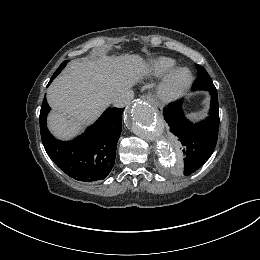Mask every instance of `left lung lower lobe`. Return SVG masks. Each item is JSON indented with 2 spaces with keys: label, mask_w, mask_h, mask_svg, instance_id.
Masks as SVG:
<instances>
[{
  "label": "left lung lower lobe",
  "mask_w": 260,
  "mask_h": 260,
  "mask_svg": "<svg viewBox=\"0 0 260 260\" xmlns=\"http://www.w3.org/2000/svg\"><path fill=\"white\" fill-rule=\"evenodd\" d=\"M211 94L209 117L199 123L189 121L183 112V101L170 103L163 109V117L170 132L178 138L184 156V174L198 170L212 155L218 138L219 106L216 89Z\"/></svg>",
  "instance_id": "1"
}]
</instances>
